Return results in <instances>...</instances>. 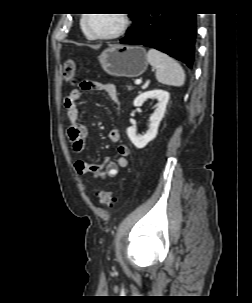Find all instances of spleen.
<instances>
[{
	"label": "spleen",
	"instance_id": "spleen-1",
	"mask_svg": "<svg viewBox=\"0 0 252 303\" xmlns=\"http://www.w3.org/2000/svg\"><path fill=\"white\" fill-rule=\"evenodd\" d=\"M147 60L156 68V79L159 83L180 87L185 82V73L180 64L168 55L150 49Z\"/></svg>",
	"mask_w": 252,
	"mask_h": 303
}]
</instances>
